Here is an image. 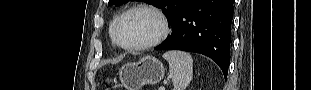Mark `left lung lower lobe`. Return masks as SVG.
<instances>
[{"label": "left lung lower lobe", "instance_id": "obj_1", "mask_svg": "<svg viewBox=\"0 0 311 90\" xmlns=\"http://www.w3.org/2000/svg\"><path fill=\"white\" fill-rule=\"evenodd\" d=\"M233 0H194L179 15L167 41L155 50H183L210 57L227 78Z\"/></svg>", "mask_w": 311, "mask_h": 90}]
</instances>
